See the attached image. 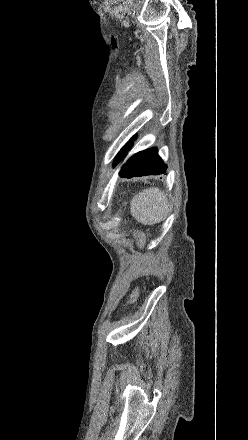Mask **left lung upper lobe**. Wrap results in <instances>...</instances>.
Masks as SVG:
<instances>
[{
  "label": "left lung upper lobe",
  "mask_w": 248,
  "mask_h": 440,
  "mask_svg": "<svg viewBox=\"0 0 248 440\" xmlns=\"http://www.w3.org/2000/svg\"><path fill=\"white\" fill-rule=\"evenodd\" d=\"M132 147V141L130 140L124 147L122 150H120V152L117 154L115 160H114V166H116L121 159L126 155L127 151L130 150Z\"/></svg>",
  "instance_id": "1"
}]
</instances>
